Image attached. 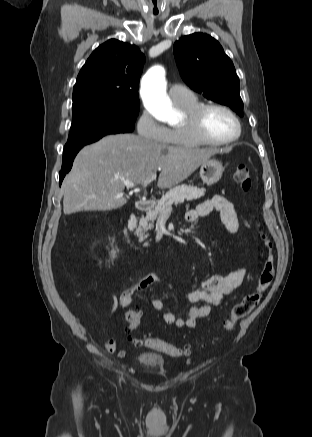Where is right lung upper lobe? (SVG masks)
<instances>
[{"label": "right lung upper lobe", "mask_w": 312, "mask_h": 437, "mask_svg": "<svg viewBox=\"0 0 312 437\" xmlns=\"http://www.w3.org/2000/svg\"><path fill=\"white\" fill-rule=\"evenodd\" d=\"M145 61L135 45L111 39L86 61L73 89V105L139 104L138 85Z\"/></svg>", "instance_id": "1"}]
</instances>
